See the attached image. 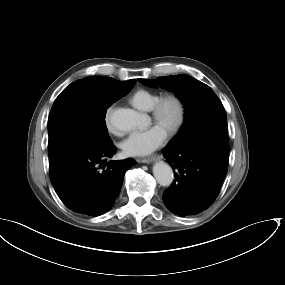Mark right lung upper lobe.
I'll return each mask as SVG.
<instances>
[{
    "label": "right lung upper lobe",
    "mask_w": 285,
    "mask_h": 285,
    "mask_svg": "<svg viewBox=\"0 0 285 285\" xmlns=\"http://www.w3.org/2000/svg\"><path fill=\"white\" fill-rule=\"evenodd\" d=\"M123 84H126V85H133L136 83V80L135 79H132V80H129V81H125V82H121Z\"/></svg>",
    "instance_id": "obj_1"
}]
</instances>
